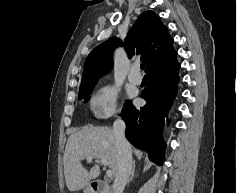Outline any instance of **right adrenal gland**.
I'll use <instances>...</instances> for the list:
<instances>
[{"label":"right adrenal gland","instance_id":"1","mask_svg":"<svg viewBox=\"0 0 237 193\" xmlns=\"http://www.w3.org/2000/svg\"><path fill=\"white\" fill-rule=\"evenodd\" d=\"M134 173H135V160L133 161L131 175H130V178L128 179V181H127V184L130 183L132 181V179L134 178Z\"/></svg>","mask_w":237,"mask_h":193}]
</instances>
